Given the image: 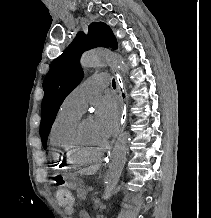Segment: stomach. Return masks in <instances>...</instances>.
<instances>
[{"label": "stomach", "mask_w": 211, "mask_h": 218, "mask_svg": "<svg viewBox=\"0 0 211 218\" xmlns=\"http://www.w3.org/2000/svg\"><path fill=\"white\" fill-rule=\"evenodd\" d=\"M64 185L70 189H77L81 184V180L75 174H67L64 177Z\"/></svg>", "instance_id": "1"}]
</instances>
